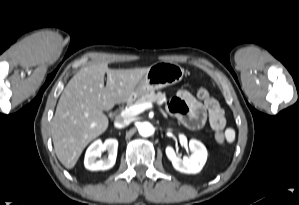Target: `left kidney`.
Instances as JSON below:
<instances>
[{
  "instance_id": "obj_1",
  "label": "left kidney",
  "mask_w": 299,
  "mask_h": 205,
  "mask_svg": "<svg viewBox=\"0 0 299 205\" xmlns=\"http://www.w3.org/2000/svg\"><path fill=\"white\" fill-rule=\"evenodd\" d=\"M189 148L192 151L190 157L181 159L175 154L171 146L166 147V155L172 162L173 167L182 173L196 174L200 172L207 160L206 147L198 140L191 139L189 141Z\"/></svg>"
}]
</instances>
